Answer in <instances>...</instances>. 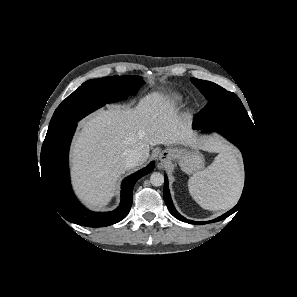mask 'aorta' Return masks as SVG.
Segmentation results:
<instances>
[{"mask_svg":"<svg viewBox=\"0 0 297 297\" xmlns=\"http://www.w3.org/2000/svg\"><path fill=\"white\" fill-rule=\"evenodd\" d=\"M150 182L153 186H161L164 183V176L159 172H154L150 176Z\"/></svg>","mask_w":297,"mask_h":297,"instance_id":"obj_1","label":"aorta"}]
</instances>
